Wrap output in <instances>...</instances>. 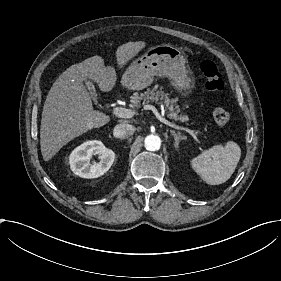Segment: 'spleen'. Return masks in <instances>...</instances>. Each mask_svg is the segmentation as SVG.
<instances>
[{
    "instance_id": "1",
    "label": "spleen",
    "mask_w": 281,
    "mask_h": 281,
    "mask_svg": "<svg viewBox=\"0 0 281 281\" xmlns=\"http://www.w3.org/2000/svg\"><path fill=\"white\" fill-rule=\"evenodd\" d=\"M241 152L235 143L227 146H216L193 160V166L207 183L216 185L227 181L234 173L239 162ZM213 158V159H211Z\"/></svg>"
}]
</instances>
